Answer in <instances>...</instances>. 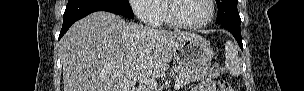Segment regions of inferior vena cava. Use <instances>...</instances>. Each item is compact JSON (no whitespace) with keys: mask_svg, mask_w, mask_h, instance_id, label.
Here are the masks:
<instances>
[{"mask_svg":"<svg viewBox=\"0 0 304 91\" xmlns=\"http://www.w3.org/2000/svg\"><path fill=\"white\" fill-rule=\"evenodd\" d=\"M138 91H150L149 87L144 84V82H141L140 85L138 86Z\"/></svg>","mask_w":304,"mask_h":91,"instance_id":"inferior-vena-cava-1","label":"inferior vena cava"}]
</instances>
